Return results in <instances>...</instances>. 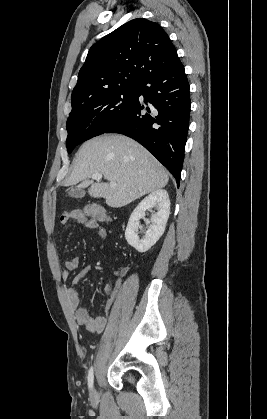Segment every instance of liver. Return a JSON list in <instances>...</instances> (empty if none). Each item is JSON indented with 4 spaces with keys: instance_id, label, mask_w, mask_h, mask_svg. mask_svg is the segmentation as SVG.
I'll list each match as a JSON object with an SVG mask.
<instances>
[{
    "instance_id": "6515ba94",
    "label": "liver",
    "mask_w": 267,
    "mask_h": 419,
    "mask_svg": "<svg viewBox=\"0 0 267 419\" xmlns=\"http://www.w3.org/2000/svg\"><path fill=\"white\" fill-rule=\"evenodd\" d=\"M100 173L109 182L90 180ZM168 173L142 145L135 140L109 134L85 142L79 149L74 169L65 185L89 187L93 198H104L108 206L120 208L132 201L166 186Z\"/></svg>"
}]
</instances>
